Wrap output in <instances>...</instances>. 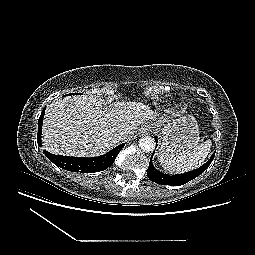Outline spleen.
<instances>
[{
  "instance_id": "spleen-1",
  "label": "spleen",
  "mask_w": 255,
  "mask_h": 255,
  "mask_svg": "<svg viewBox=\"0 0 255 255\" xmlns=\"http://www.w3.org/2000/svg\"><path fill=\"white\" fill-rule=\"evenodd\" d=\"M212 142L206 140L193 149L183 151L175 156H159L162 168L171 173H183L200 167L211 151Z\"/></svg>"
}]
</instances>
